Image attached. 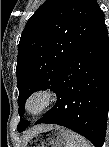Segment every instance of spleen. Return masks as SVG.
I'll list each match as a JSON object with an SVG mask.
<instances>
[{"instance_id": "1", "label": "spleen", "mask_w": 109, "mask_h": 147, "mask_svg": "<svg viewBox=\"0 0 109 147\" xmlns=\"http://www.w3.org/2000/svg\"><path fill=\"white\" fill-rule=\"evenodd\" d=\"M67 147H90V144L85 138H83L79 134L70 131L68 134Z\"/></svg>"}]
</instances>
